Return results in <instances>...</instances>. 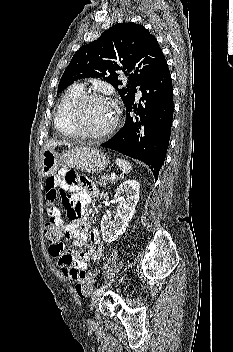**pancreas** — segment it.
<instances>
[{
	"instance_id": "pancreas-1",
	"label": "pancreas",
	"mask_w": 233,
	"mask_h": 352,
	"mask_svg": "<svg viewBox=\"0 0 233 352\" xmlns=\"http://www.w3.org/2000/svg\"><path fill=\"white\" fill-rule=\"evenodd\" d=\"M110 182H113V180L111 179V177L109 175L101 176L99 179L100 185H105L106 183H110Z\"/></svg>"
}]
</instances>
